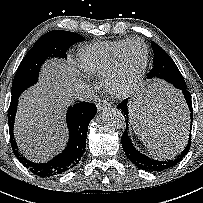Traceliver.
<instances>
[{"mask_svg": "<svg viewBox=\"0 0 203 203\" xmlns=\"http://www.w3.org/2000/svg\"><path fill=\"white\" fill-rule=\"evenodd\" d=\"M70 60L47 63L39 83L24 92L19 100L15 138L23 154L36 162H44L59 149L66 138L63 112L70 104L72 91L78 84ZM149 104L135 101L131 108L134 129L147 146L157 153L177 140L187 130V115L173 106L167 111H147Z\"/></svg>", "mask_w": 203, "mask_h": 203, "instance_id": "obj_1", "label": "liver"}]
</instances>
